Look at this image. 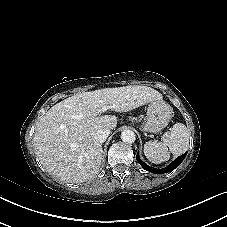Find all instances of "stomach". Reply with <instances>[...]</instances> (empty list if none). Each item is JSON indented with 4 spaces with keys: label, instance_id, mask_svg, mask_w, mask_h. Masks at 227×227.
I'll return each instance as SVG.
<instances>
[{
    "label": "stomach",
    "instance_id": "1",
    "mask_svg": "<svg viewBox=\"0 0 227 227\" xmlns=\"http://www.w3.org/2000/svg\"><path fill=\"white\" fill-rule=\"evenodd\" d=\"M173 110L162 100H155L148 105L146 117L141 130L149 133H159L170 122Z\"/></svg>",
    "mask_w": 227,
    "mask_h": 227
}]
</instances>
